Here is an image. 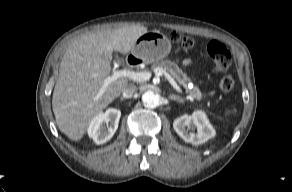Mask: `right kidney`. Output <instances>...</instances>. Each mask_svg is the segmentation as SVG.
Here are the masks:
<instances>
[{
	"label": "right kidney",
	"instance_id": "obj_1",
	"mask_svg": "<svg viewBox=\"0 0 292 192\" xmlns=\"http://www.w3.org/2000/svg\"><path fill=\"white\" fill-rule=\"evenodd\" d=\"M121 112L110 108L105 113L98 114L90 123L88 135L96 144L106 143L112 138L118 128Z\"/></svg>",
	"mask_w": 292,
	"mask_h": 192
}]
</instances>
